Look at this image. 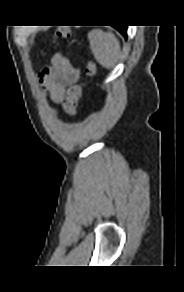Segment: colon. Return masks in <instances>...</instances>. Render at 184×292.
I'll return each instance as SVG.
<instances>
[{
	"mask_svg": "<svg viewBox=\"0 0 184 292\" xmlns=\"http://www.w3.org/2000/svg\"><path fill=\"white\" fill-rule=\"evenodd\" d=\"M66 28H61L57 31L58 37H63L68 34ZM89 75H94L96 73V66L90 63L87 67ZM82 95V87L77 84L71 85L66 92V96L63 100V106L65 111L70 115H76L78 113V104Z\"/></svg>",
	"mask_w": 184,
	"mask_h": 292,
	"instance_id": "colon-1",
	"label": "colon"
}]
</instances>
